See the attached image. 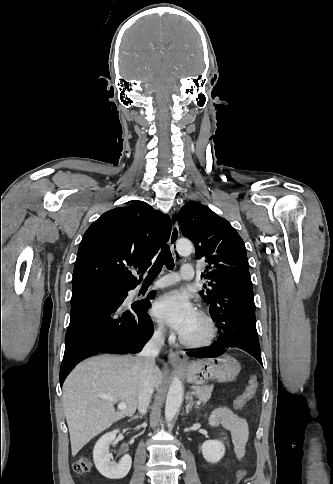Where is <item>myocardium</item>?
<instances>
[{"label":"myocardium","mask_w":333,"mask_h":484,"mask_svg":"<svg viewBox=\"0 0 333 484\" xmlns=\"http://www.w3.org/2000/svg\"><path fill=\"white\" fill-rule=\"evenodd\" d=\"M197 315L204 320L207 325V335L198 341H192L185 338L182 334L179 336V340L182 345L191 349H203L210 346L217 336V326L214 319L207 312L199 310Z\"/></svg>","instance_id":"f54148a6"}]
</instances>
